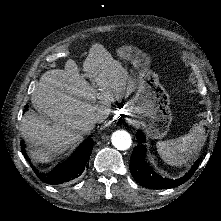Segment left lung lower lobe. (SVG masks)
Here are the masks:
<instances>
[{"instance_id":"1","label":"left lung lower lobe","mask_w":221,"mask_h":221,"mask_svg":"<svg viewBox=\"0 0 221 221\" xmlns=\"http://www.w3.org/2000/svg\"><path fill=\"white\" fill-rule=\"evenodd\" d=\"M139 142L145 143L144 134L141 131L136 133ZM146 147L139 144L133 149L130 160V172L134 179L142 186L150 189H168L177 187L185 183L196 171L199 166V160L194 163L191 170L182 178L172 180L163 178L153 171L152 167L144 160Z\"/></svg>"}]
</instances>
